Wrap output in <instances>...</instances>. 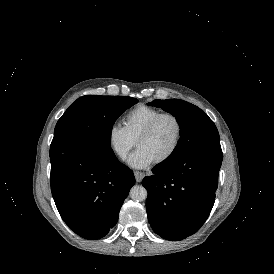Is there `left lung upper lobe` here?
<instances>
[{"mask_svg":"<svg viewBox=\"0 0 274 274\" xmlns=\"http://www.w3.org/2000/svg\"><path fill=\"white\" fill-rule=\"evenodd\" d=\"M148 105L171 113L180 126L178 144L164 162L178 160L205 148H221L215 124L197 106L179 99L154 100Z\"/></svg>","mask_w":274,"mask_h":274,"instance_id":"5c2ea615","label":"left lung upper lobe"}]
</instances>
